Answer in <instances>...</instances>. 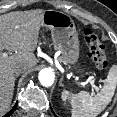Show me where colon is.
I'll use <instances>...</instances> for the list:
<instances>
[{
  "instance_id": "5ec220e1",
  "label": "colon",
  "mask_w": 117,
  "mask_h": 117,
  "mask_svg": "<svg viewBox=\"0 0 117 117\" xmlns=\"http://www.w3.org/2000/svg\"><path fill=\"white\" fill-rule=\"evenodd\" d=\"M84 40L89 50L88 56L94 65L100 70L106 69L109 63L106 56L105 45L89 28L84 30Z\"/></svg>"
}]
</instances>
